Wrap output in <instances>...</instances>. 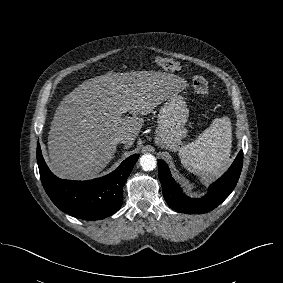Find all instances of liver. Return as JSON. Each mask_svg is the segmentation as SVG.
<instances>
[{
  "mask_svg": "<svg viewBox=\"0 0 283 283\" xmlns=\"http://www.w3.org/2000/svg\"><path fill=\"white\" fill-rule=\"evenodd\" d=\"M186 87L181 77L145 70L109 72L84 81L55 111L48 136L49 168L62 179L97 175L113 159L116 137L125 136V147H131L144 123L139 116Z\"/></svg>",
  "mask_w": 283,
  "mask_h": 283,
  "instance_id": "obj_1",
  "label": "liver"
}]
</instances>
